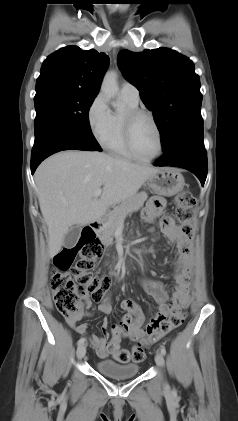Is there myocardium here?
<instances>
[{
	"instance_id": "1",
	"label": "myocardium",
	"mask_w": 238,
	"mask_h": 421,
	"mask_svg": "<svg viewBox=\"0 0 238 421\" xmlns=\"http://www.w3.org/2000/svg\"><path fill=\"white\" fill-rule=\"evenodd\" d=\"M140 117H147L152 122V124L155 127L156 132H157L159 148H158L157 153L151 158H144V157L140 156L134 148L133 127H134V124H135L136 120ZM123 134H124L125 144H126L128 150H129V152L131 153V155L136 160L144 162V163H151L161 156V154L163 152V149H164L162 131H161V128H160L157 120L155 119V117L149 111L139 109V108L127 110L123 114Z\"/></svg>"
}]
</instances>
